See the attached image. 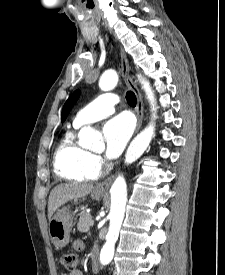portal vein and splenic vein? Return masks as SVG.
I'll list each match as a JSON object with an SVG mask.
<instances>
[{
  "mask_svg": "<svg viewBox=\"0 0 225 275\" xmlns=\"http://www.w3.org/2000/svg\"><path fill=\"white\" fill-rule=\"evenodd\" d=\"M91 224H92V225L94 224V220H91Z\"/></svg>",
  "mask_w": 225,
  "mask_h": 275,
  "instance_id": "obj_1",
  "label": "portal vein and splenic vein"
}]
</instances>
